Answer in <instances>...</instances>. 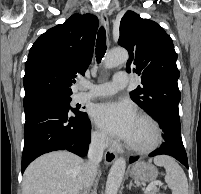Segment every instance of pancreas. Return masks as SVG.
<instances>
[{
    "label": "pancreas",
    "instance_id": "cf45deb5",
    "mask_svg": "<svg viewBox=\"0 0 201 194\" xmlns=\"http://www.w3.org/2000/svg\"><path fill=\"white\" fill-rule=\"evenodd\" d=\"M159 189L157 187L151 189L150 191L145 192V194H157Z\"/></svg>",
    "mask_w": 201,
    "mask_h": 194
}]
</instances>
